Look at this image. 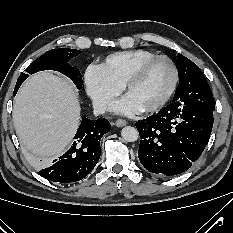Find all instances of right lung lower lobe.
Returning a JSON list of instances; mask_svg holds the SVG:
<instances>
[{"mask_svg": "<svg viewBox=\"0 0 233 233\" xmlns=\"http://www.w3.org/2000/svg\"><path fill=\"white\" fill-rule=\"evenodd\" d=\"M22 83L23 81H17L14 95ZM110 129V123L105 118L95 121L82 118L71 148L53 160L51 166L39 171V174L59 183H72L83 179L98 163L101 155L100 139Z\"/></svg>", "mask_w": 233, "mask_h": 233, "instance_id": "obj_1", "label": "right lung lower lobe"}]
</instances>
